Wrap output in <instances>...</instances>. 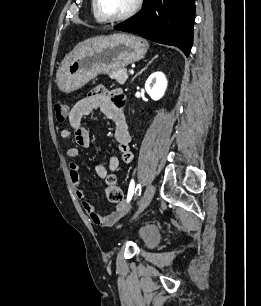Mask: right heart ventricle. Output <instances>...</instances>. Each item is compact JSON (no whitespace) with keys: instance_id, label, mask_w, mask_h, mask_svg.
Masks as SVG:
<instances>
[{"instance_id":"obj_1","label":"right heart ventricle","mask_w":261,"mask_h":306,"mask_svg":"<svg viewBox=\"0 0 261 306\" xmlns=\"http://www.w3.org/2000/svg\"><path fill=\"white\" fill-rule=\"evenodd\" d=\"M92 10H93V15H94V18L98 21V22H103L95 13L94 11V7H93V0H92Z\"/></svg>"}]
</instances>
